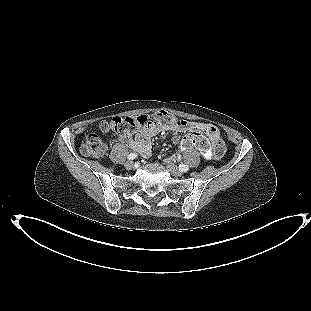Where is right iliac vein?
<instances>
[{"label":"right iliac vein","instance_id":"obj_1","mask_svg":"<svg viewBox=\"0 0 311 311\" xmlns=\"http://www.w3.org/2000/svg\"><path fill=\"white\" fill-rule=\"evenodd\" d=\"M125 168H127V169H132L133 167H134V162L133 161H131V160H129V161H127L126 163H125Z\"/></svg>","mask_w":311,"mask_h":311}]
</instances>
